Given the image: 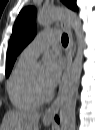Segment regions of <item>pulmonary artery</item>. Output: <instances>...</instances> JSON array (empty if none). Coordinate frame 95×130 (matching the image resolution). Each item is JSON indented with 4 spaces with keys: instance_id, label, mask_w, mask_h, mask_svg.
<instances>
[{
    "instance_id": "pulmonary-artery-1",
    "label": "pulmonary artery",
    "mask_w": 95,
    "mask_h": 130,
    "mask_svg": "<svg viewBox=\"0 0 95 130\" xmlns=\"http://www.w3.org/2000/svg\"><path fill=\"white\" fill-rule=\"evenodd\" d=\"M60 37L57 31L40 32L34 40L23 50L20 59L32 62L51 44L59 42Z\"/></svg>"
}]
</instances>
